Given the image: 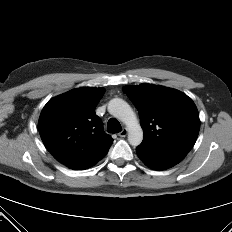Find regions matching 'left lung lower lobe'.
<instances>
[{
  "label": "left lung lower lobe",
  "instance_id": "obj_1",
  "mask_svg": "<svg viewBox=\"0 0 232 232\" xmlns=\"http://www.w3.org/2000/svg\"><path fill=\"white\" fill-rule=\"evenodd\" d=\"M139 158L145 165L155 170H165L173 167L184 159L187 153L173 152V153H147L137 150Z\"/></svg>",
  "mask_w": 232,
  "mask_h": 232
}]
</instances>
